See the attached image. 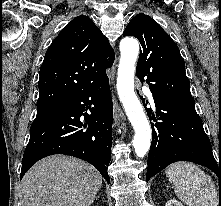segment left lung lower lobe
Instances as JSON below:
<instances>
[{"label": "left lung lower lobe", "instance_id": "left-lung-lower-lobe-1", "mask_svg": "<svg viewBox=\"0 0 221 206\" xmlns=\"http://www.w3.org/2000/svg\"><path fill=\"white\" fill-rule=\"evenodd\" d=\"M142 101L143 97L140 96ZM161 123L152 125V143L148 154L146 179L176 161H190L211 169L221 181V162L217 163L201 118L195 109L167 105L154 97ZM146 106V105H144ZM149 119L155 120L151 110ZM221 205V204H220Z\"/></svg>", "mask_w": 221, "mask_h": 206}]
</instances>
